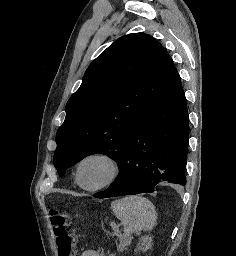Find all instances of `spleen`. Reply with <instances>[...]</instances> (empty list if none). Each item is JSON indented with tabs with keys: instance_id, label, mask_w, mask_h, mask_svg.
I'll list each match as a JSON object with an SVG mask.
<instances>
[{
	"instance_id": "1",
	"label": "spleen",
	"mask_w": 236,
	"mask_h": 256,
	"mask_svg": "<svg viewBox=\"0 0 236 256\" xmlns=\"http://www.w3.org/2000/svg\"><path fill=\"white\" fill-rule=\"evenodd\" d=\"M111 208L114 216L122 222L126 234L152 230L156 222V212L152 202L142 196H130V198L115 200L112 202ZM83 256H98V254L97 252H87Z\"/></svg>"
}]
</instances>
